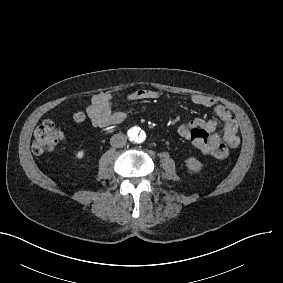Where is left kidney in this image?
Returning a JSON list of instances; mask_svg holds the SVG:
<instances>
[{"instance_id": "left-kidney-1", "label": "left kidney", "mask_w": 283, "mask_h": 283, "mask_svg": "<svg viewBox=\"0 0 283 283\" xmlns=\"http://www.w3.org/2000/svg\"><path fill=\"white\" fill-rule=\"evenodd\" d=\"M186 166L188 167V169L194 172H199L201 170L202 164L196 158H188L186 160Z\"/></svg>"}]
</instances>
